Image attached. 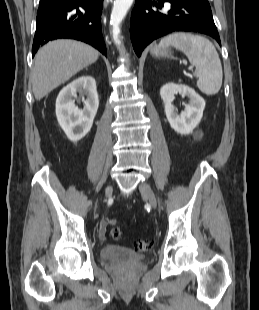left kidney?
I'll use <instances>...</instances> for the list:
<instances>
[{"mask_svg": "<svg viewBox=\"0 0 259 310\" xmlns=\"http://www.w3.org/2000/svg\"><path fill=\"white\" fill-rule=\"evenodd\" d=\"M189 98V103L181 114H177L172 104L175 94ZM160 96L164 103L165 114L172 129L182 135H188L200 123L205 108V100L194 89L183 84L168 83L161 87Z\"/></svg>", "mask_w": 259, "mask_h": 310, "instance_id": "1", "label": "left kidney"}]
</instances>
